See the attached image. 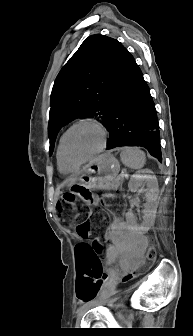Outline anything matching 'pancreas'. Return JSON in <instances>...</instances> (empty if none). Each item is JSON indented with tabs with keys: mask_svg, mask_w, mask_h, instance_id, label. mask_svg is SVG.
<instances>
[{
	"mask_svg": "<svg viewBox=\"0 0 193 336\" xmlns=\"http://www.w3.org/2000/svg\"><path fill=\"white\" fill-rule=\"evenodd\" d=\"M123 178L116 177L114 178L109 185L106 186V194L110 195L113 193L114 190H116L119 186L122 185Z\"/></svg>",
	"mask_w": 193,
	"mask_h": 336,
	"instance_id": "1",
	"label": "pancreas"
}]
</instances>
